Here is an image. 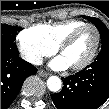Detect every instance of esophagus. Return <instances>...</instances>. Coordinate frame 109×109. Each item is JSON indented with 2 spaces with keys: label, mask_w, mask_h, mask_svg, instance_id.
<instances>
[{
  "label": "esophagus",
  "mask_w": 109,
  "mask_h": 109,
  "mask_svg": "<svg viewBox=\"0 0 109 109\" xmlns=\"http://www.w3.org/2000/svg\"><path fill=\"white\" fill-rule=\"evenodd\" d=\"M38 74L42 77H47L49 74L43 70H38Z\"/></svg>",
  "instance_id": "esophagus-1"
}]
</instances>
